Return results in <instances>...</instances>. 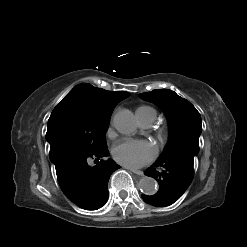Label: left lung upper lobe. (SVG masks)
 I'll return each mask as SVG.
<instances>
[{
    "label": "left lung upper lobe",
    "instance_id": "1",
    "mask_svg": "<svg viewBox=\"0 0 247 247\" xmlns=\"http://www.w3.org/2000/svg\"><path fill=\"white\" fill-rule=\"evenodd\" d=\"M140 97L157 104L168 118L169 141L161 157L180 152L196 156L202 131L201 116L196 108L186 99L168 89L141 93Z\"/></svg>",
    "mask_w": 247,
    "mask_h": 247
}]
</instances>
